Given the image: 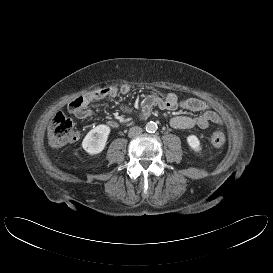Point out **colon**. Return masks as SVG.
<instances>
[{
	"instance_id": "1",
	"label": "colon",
	"mask_w": 273,
	"mask_h": 273,
	"mask_svg": "<svg viewBox=\"0 0 273 273\" xmlns=\"http://www.w3.org/2000/svg\"><path fill=\"white\" fill-rule=\"evenodd\" d=\"M75 104L80 103V98L74 100ZM72 120L62 112L53 115L48 127V139L53 146H62L73 142L77 138ZM210 142L213 146L220 148L226 143V137L221 131H213L210 135Z\"/></svg>"
}]
</instances>
